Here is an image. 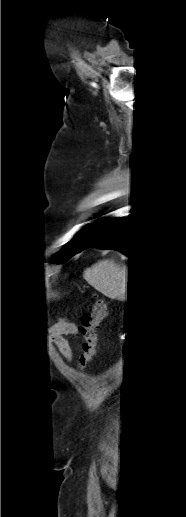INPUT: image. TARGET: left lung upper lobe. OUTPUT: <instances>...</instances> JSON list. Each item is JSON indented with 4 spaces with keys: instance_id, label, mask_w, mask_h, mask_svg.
Returning a JSON list of instances; mask_svg holds the SVG:
<instances>
[{
    "instance_id": "5c2ea615",
    "label": "left lung upper lobe",
    "mask_w": 186,
    "mask_h": 517,
    "mask_svg": "<svg viewBox=\"0 0 186 517\" xmlns=\"http://www.w3.org/2000/svg\"><path fill=\"white\" fill-rule=\"evenodd\" d=\"M96 223L87 225L82 229L67 245L57 254L54 255L55 263H61L71 256L75 255L78 250L89 240L92 235Z\"/></svg>"
}]
</instances>
